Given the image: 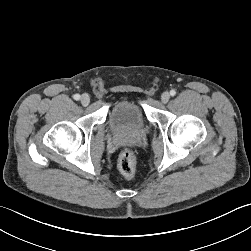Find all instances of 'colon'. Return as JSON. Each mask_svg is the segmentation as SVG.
I'll return each instance as SVG.
<instances>
[{"label": "colon", "instance_id": "1", "mask_svg": "<svg viewBox=\"0 0 251 251\" xmlns=\"http://www.w3.org/2000/svg\"><path fill=\"white\" fill-rule=\"evenodd\" d=\"M118 166L121 174L132 180L136 176V157L130 150H125L120 154Z\"/></svg>", "mask_w": 251, "mask_h": 251}]
</instances>
